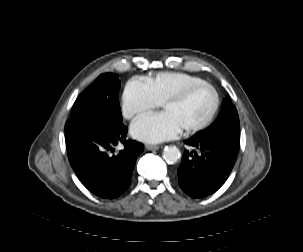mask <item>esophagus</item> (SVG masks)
<instances>
[{
	"instance_id": "esophagus-1",
	"label": "esophagus",
	"mask_w": 303,
	"mask_h": 252,
	"mask_svg": "<svg viewBox=\"0 0 303 252\" xmlns=\"http://www.w3.org/2000/svg\"><path fill=\"white\" fill-rule=\"evenodd\" d=\"M158 146L157 145H146L145 146V149H147V150H154V149H156Z\"/></svg>"
}]
</instances>
